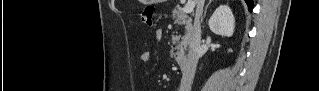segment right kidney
<instances>
[{
  "instance_id": "ca27d5eb",
  "label": "right kidney",
  "mask_w": 319,
  "mask_h": 91,
  "mask_svg": "<svg viewBox=\"0 0 319 91\" xmlns=\"http://www.w3.org/2000/svg\"><path fill=\"white\" fill-rule=\"evenodd\" d=\"M208 24L213 33L230 37L234 32L235 19L231 9L226 5H221L214 11Z\"/></svg>"
}]
</instances>
